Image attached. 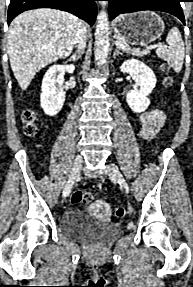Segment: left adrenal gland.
<instances>
[{"label":"left adrenal gland","instance_id":"1","mask_svg":"<svg viewBox=\"0 0 193 287\" xmlns=\"http://www.w3.org/2000/svg\"><path fill=\"white\" fill-rule=\"evenodd\" d=\"M119 54H122L121 51H119V49L117 47H115L113 57L116 58V55H119Z\"/></svg>","mask_w":193,"mask_h":287}]
</instances>
